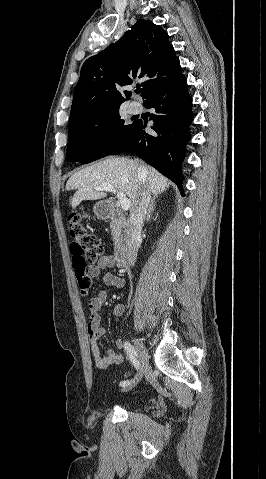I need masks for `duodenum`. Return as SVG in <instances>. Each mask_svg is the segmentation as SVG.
<instances>
[{
    "label": "duodenum",
    "mask_w": 266,
    "mask_h": 479,
    "mask_svg": "<svg viewBox=\"0 0 266 479\" xmlns=\"http://www.w3.org/2000/svg\"><path fill=\"white\" fill-rule=\"evenodd\" d=\"M105 213L119 226H123L126 219L118 208L116 201H109L106 205ZM128 260V250L125 245H121L114 255V261L117 267L122 268L126 265Z\"/></svg>",
    "instance_id": "obj_1"
}]
</instances>
